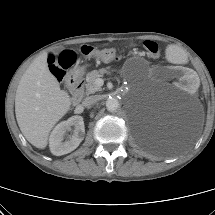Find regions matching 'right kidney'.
<instances>
[{"mask_svg": "<svg viewBox=\"0 0 215 215\" xmlns=\"http://www.w3.org/2000/svg\"><path fill=\"white\" fill-rule=\"evenodd\" d=\"M74 127L69 139L64 141L67 130ZM85 134L84 121L81 116H72L68 120L59 123L51 132L49 147L53 155L61 156L75 150L82 142Z\"/></svg>", "mask_w": 215, "mask_h": 215, "instance_id": "1", "label": "right kidney"}]
</instances>
